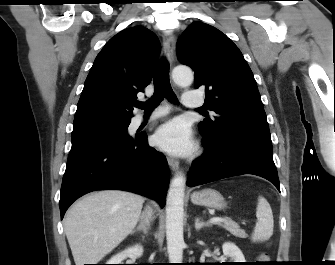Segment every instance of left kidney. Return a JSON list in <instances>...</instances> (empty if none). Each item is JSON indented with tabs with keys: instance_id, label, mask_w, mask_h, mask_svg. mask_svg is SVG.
<instances>
[{
	"instance_id": "1",
	"label": "left kidney",
	"mask_w": 335,
	"mask_h": 265,
	"mask_svg": "<svg viewBox=\"0 0 335 265\" xmlns=\"http://www.w3.org/2000/svg\"><path fill=\"white\" fill-rule=\"evenodd\" d=\"M223 254L231 258V262H245V258L241 250L233 243L226 242L222 246Z\"/></svg>"
}]
</instances>
